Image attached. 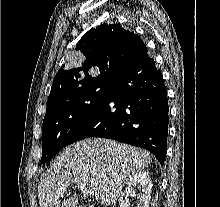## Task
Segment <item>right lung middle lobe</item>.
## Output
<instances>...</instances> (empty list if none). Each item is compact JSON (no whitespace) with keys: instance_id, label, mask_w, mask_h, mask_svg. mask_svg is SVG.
Masks as SVG:
<instances>
[{"instance_id":"obj_1","label":"right lung middle lobe","mask_w":220,"mask_h":207,"mask_svg":"<svg viewBox=\"0 0 220 207\" xmlns=\"http://www.w3.org/2000/svg\"><path fill=\"white\" fill-rule=\"evenodd\" d=\"M107 89L108 83L88 85L47 104L42 130V163L69 144L75 130L100 106Z\"/></svg>"}]
</instances>
